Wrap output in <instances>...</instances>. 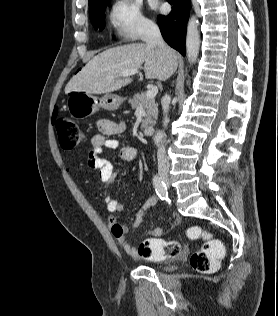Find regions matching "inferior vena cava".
<instances>
[{
    "label": "inferior vena cava",
    "instance_id": "inferior-vena-cava-1",
    "mask_svg": "<svg viewBox=\"0 0 278 316\" xmlns=\"http://www.w3.org/2000/svg\"><path fill=\"white\" fill-rule=\"evenodd\" d=\"M142 39L146 42L148 46H157L164 52H169V47L165 44L159 27L152 21H148L144 24L142 30ZM170 97L165 95L162 100V109L164 114L163 126L166 127L168 124V110H169ZM158 160V171L168 172L169 171V161L166 155L165 146L161 144L157 151Z\"/></svg>",
    "mask_w": 278,
    "mask_h": 316
}]
</instances>
